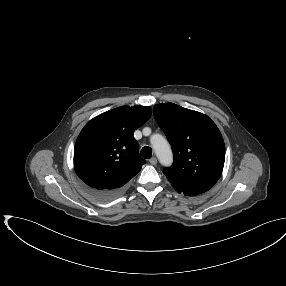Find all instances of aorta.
Instances as JSON below:
<instances>
[{
    "label": "aorta",
    "instance_id": "1",
    "mask_svg": "<svg viewBox=\"0 0 286 286\" xmlns=\"http://www.w3.org/2000/svg\"><path fill=\"white\" fill-rule=\"evenodd\" d=\"M151 144L160 163L164 166H170L173 156L168 141L162 135L155 134L151 138Z\"/></svg>",
    "mask_w": 286,
    "mask_h": 286
}]
</instances>
